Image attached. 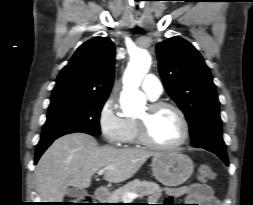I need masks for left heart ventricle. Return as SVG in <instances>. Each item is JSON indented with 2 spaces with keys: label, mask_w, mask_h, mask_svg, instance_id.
I'll return each instance as SVG.
<instances>
[{
  "label": "left heart ventricle",
  "mask_w": 253,
  "mask_h": 205,
  "mask_svg": "<svg viewBox=\"0 0 253 205\" xmlns=\"http://www.w3.org/2000/svg\"><path fill=\"white\" fill-rule=\"evenodd\" d=\"M148 115V107L138 117L144 118ZM151 138L161 145H172L177 143L183 136V125L179 116L170 109H164L153 115L149 122Z\"/></svg>",
  "instance_id": "1"
}]
</instances>
